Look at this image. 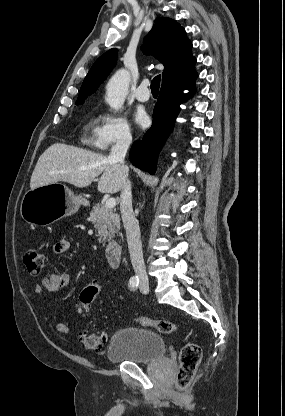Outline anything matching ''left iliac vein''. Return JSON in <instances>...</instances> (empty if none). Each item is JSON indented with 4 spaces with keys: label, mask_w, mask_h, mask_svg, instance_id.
Segmentation results:
<instances>
[{
    "label": "left iliac vein",
    "mask_w": 285,
    "mask_h": 416,
    "mask_svg": "<svg viewBox=\"0 0 285 416\" xmlns=\"http://www.w3.org/2000/svg\"><path fill=\"white\" fill-rule=\"evenodd\" d=\"M139 288L142 293H147L149 291L148 284L146 285L140 284Z\"/></svg>",
    "instance_id": "obj_1"
}]
</instances>
